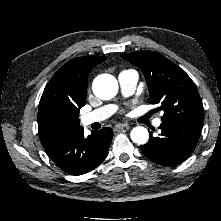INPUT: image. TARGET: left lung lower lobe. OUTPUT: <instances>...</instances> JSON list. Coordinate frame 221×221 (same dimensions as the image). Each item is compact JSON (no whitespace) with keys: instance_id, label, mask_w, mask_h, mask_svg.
<instances>
[{"instance_id":"obj_1","label":"left lung lower lobe","mask_w":221,"mask_h":221,"mask_svg":"<svg viewBox=\"0 0 221 221\" xmlns=\"http://www.w3.org/2000/svg\"><path fill=\"white\" fill-rule=\"evenodd\" d=\"M203 124L194 122L171 121L162 122L161 133L142 145V153L155 163L173 166L184 162L193 152Z\"/></svg>"}]
</instances>
